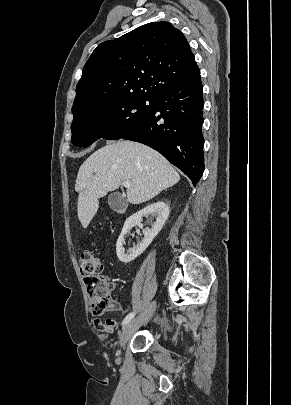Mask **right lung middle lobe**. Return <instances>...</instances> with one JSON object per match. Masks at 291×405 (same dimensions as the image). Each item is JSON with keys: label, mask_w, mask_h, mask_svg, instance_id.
<instances>
[{"label": "right lung middle lobe", "mask_w": 291, "mask_h": 405, "mask_svg": "<svg viewBox=\"0 0 291 405\" xmlns=\"http://www.w3.org/2000/svg\"><path fill=\"white\" fill-rule=\"evenodd\" d=\"M151 108L152 99L142 96L90 104L73 113L71 141L75 146L86 147L100 138L118 140L140 126Z\"/></svg>", "instance_id": "right-lung-middle-lobe-1"}]
</instances>
